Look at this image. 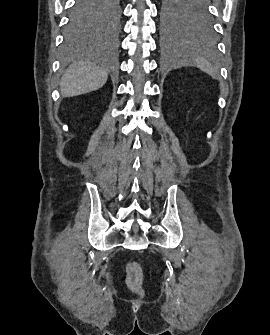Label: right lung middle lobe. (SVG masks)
Wrapping results in <instances>:
<instances>
[{"mask_svg":"<svg viewBox=\"0 0 270 335\" xmlns=\"http://www.w3.org/2000/svg\"><path fill=\"white\" fill-rule=\"evenodd\" d=\"M69 12L65 29L68 45L83 39L100 24L117 26L121 10V0H75Z\"/></svg>","mask_w":270,"mask_h":335,"instance_id":"right-lung-middle-lobe-1","label":"right lung middle lobe"}]
</instances>
